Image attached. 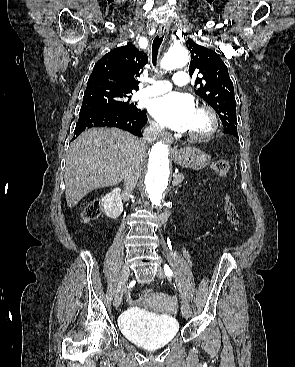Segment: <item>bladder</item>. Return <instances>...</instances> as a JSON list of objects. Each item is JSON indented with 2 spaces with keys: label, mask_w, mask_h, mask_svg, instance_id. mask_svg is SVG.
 I'll return each mask as SVG.
<instances>
[{
  "label": "bladder",
  "mask_w": 295,
  "mask_h": 367,
  "mask_svg": "<svg viewBox=\"0 0 295 367\" xmlns=\"http://www.w3.org/2000/svg\"><path fill=\"white\" fill-rule=\"evenodd\" d=\"M120 324L129 339L155 347L171 342L179 329L177 321L171 316L162 320H143L139 311L132 308L122 315Z\"/></svg>",
  "instance_id": "bladder-1"
}]
</instances>
